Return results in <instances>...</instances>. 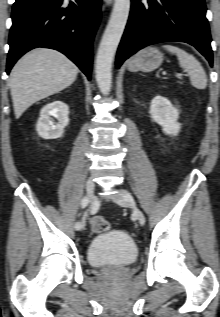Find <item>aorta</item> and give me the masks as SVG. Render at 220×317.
Listing matches in <instances>:
<instances>
[{
    "instance_id": "obj_1",
    "label": "aorta",
    "mask_w": 220,
    "mask_h": 317,
    "mask_svg": "<svg viewBox=\"0 0 220 317\" xmlns=\"http://www.w3.org/2000/svg\"><path fill=\"white\" fill-rule=\"evenodd\" d=\"M130 11V0H115L102 36L95 63V78L100 92L108 95L112 83V63L123 35Z\"/></svg>"
}]
</instances>
